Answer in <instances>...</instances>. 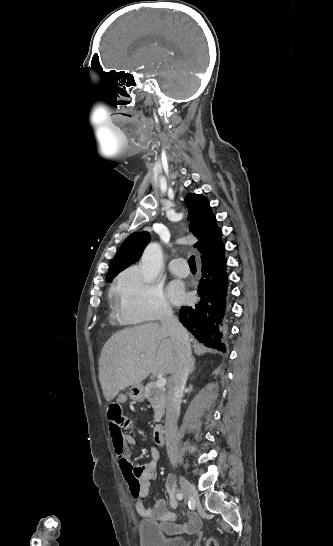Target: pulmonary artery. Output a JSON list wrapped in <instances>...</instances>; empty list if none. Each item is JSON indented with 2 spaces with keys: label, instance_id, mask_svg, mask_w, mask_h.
<instances>
[{
  "label": "pulmonary artery",
  "instance_id": "obj_1",
  "mask_svg": "<svg viewBox=\"0 0 333 546\" xmlns=\"http://www.w3.org/2000/svg\"><path fill=\"white\" fill-rule=\"evenodd\" d=\"M169 270L178 277H186L189 274V268L183 258H176L170 261Z\"/></svg>",
  "mask_w": 333,
  "mask_h": 546
}]
</instances>
